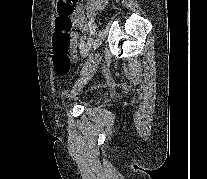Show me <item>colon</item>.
<instances>
[{
    "label": "colon",
    "mask_w": 207,
    "mask_h": 179,
    "mask_svg": "<svg viewBox=\"0 0 207 179\" xmlns=\"http://www.w3.org/2000/svg\"><path fill=\"white\" fill-rule=\"evenodd\" d=\"M78 0H60L57 5L55 32L53 36V67L57 75H67L71 68L70 46L72 43V16Z\"/></svg>",
    "instance_id": "1"
}]
</instances>
